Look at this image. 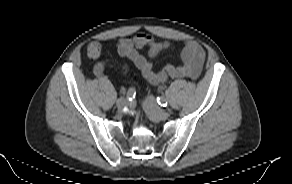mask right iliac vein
<instances>
[{
	"label": "right iliac vein",
	"mask_w": 292,
	"mask_h": 184,
	"mask_svg": "<svg viewBox=\"0 0 292 184\" xmlns=\"http://www.w3.org/2000/svg\"><path fill=\"white\" fill-rule=\"evenodd\" d=\"M128 104V100L125 99V98H119L117 101H116V106L119 108V109H122L124 106H126Z\"/></svg>",
	"instance_id": "right-iliac-vein-1"
}]
</instances>
